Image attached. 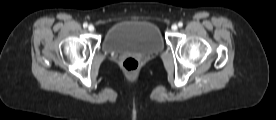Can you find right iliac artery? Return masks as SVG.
<instances>
[{
    "mask_svg": "<svg viewBox=\"0 0 276 120\" xmlns=\"http://www.w3.org/2000/svg\"><path fill=\"white\" fill-rule=\"evenodd\" d=\"M87 26H88V24L85 22V23H83V27L84 28H87Z\"/></svg>",
    "mask_w": 276,
    "mask_h": 120,
    "instance_id": "right-iliac-artery-1",
    "label": "right iliac artery"
}]
</instances>
